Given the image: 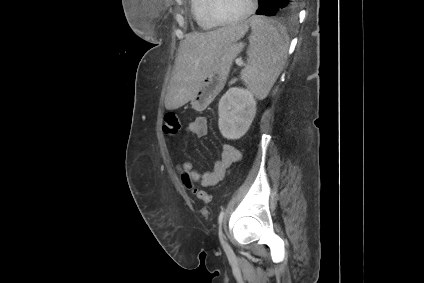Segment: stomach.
<instances>
[{"label":"stomach","instance_id":"obj_1","mask_svg":"<svg viewBox=\"0 0 424 283\" xmlns=\"http://www.w3.org/2000/svg\"><path fill=\"white\" fill-rule=\"evenodd\" d=\"M243 47V43L238 41H234L226 46L218 60L214 63L213 67L205 75L198 91L191 99V104L196 110L201 111L204 109L203 107L198 106L205 93L210 91V98H213L214 95L220 91L230 71L233 60L242 51Z\"/></svg>","mask_w":424,"mask_h":283}]
</instances>
